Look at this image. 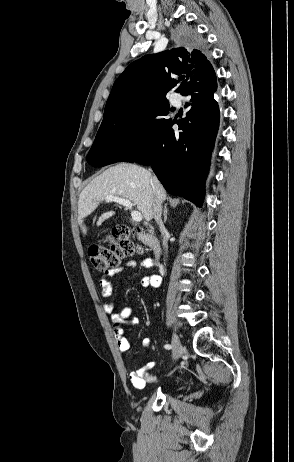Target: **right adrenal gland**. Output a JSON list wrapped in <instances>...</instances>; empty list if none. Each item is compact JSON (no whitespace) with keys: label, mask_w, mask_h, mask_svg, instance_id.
<instances>
[{"label":"right adrenal gland","mask_w":294,"mask_h":462,"mask_svg":"<svg viewBox=\"0 0 294 462\" xmlns=\"http://www.w3.org/2000/svg\"><path fill=\"white\" fill-rule=\"evenodd\" d=\"M167 214H168V209H167V204H165L164 211H163L164 223H166V221H167Z\"/></svg>","instance_id":"obj_1"}]
</instances>
